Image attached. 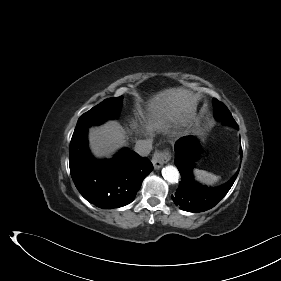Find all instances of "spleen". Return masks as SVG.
<instances>
[{"label": "spleen", "instance_id": "3e777b00", "mask_svg": "<svg viewBox=\"0 0 281 281\" xmlns=\"http://www.w3.org/2000/svg\"><path fill=\"white\" fill-rule=\"evenodd\" d=\"M193 174L197 181L206 185H213L220 179V176H217L205 170L194 169Z\"/></svg>", "mask_w": 281, "mask_h": 281}]
</instances>
